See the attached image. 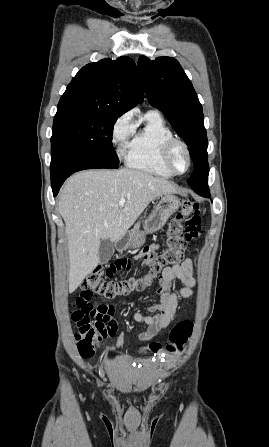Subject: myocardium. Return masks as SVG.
Returning a JSON list of instances; mask_svg holds the SVG:
<instances>
[{
    "label": "myocardium",
    "instance_id": "f54148a6",
    "mask_svg": "<svg viewBox=\"0 0 269 447\" xmlns=\"http://www.w3.org/2000/svg\"><path fill=\"white\" fill-rule=\"evenodd\" d=\"M177 148H182L187 156L188 165H187L186 170L183 172L178 171L175 168V165L173 162V156H174L175 150ZM163 162L173 174L182 175V174L186 173L190 169V166H191V153H190L189 147L187 146V144L185 142H183L177 138H173V139L169 140L164 145V148H163Z\"/></svg>",
    "mask_w": 269,
    "mask_h": 447
}]
</instances>
